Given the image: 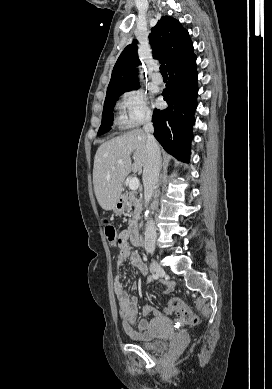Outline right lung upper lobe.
I'll return each instance as SVG.
<instances>
[{"instance_id": "right-lung-upper-lobe-1", "label": "right lung upper lobe", "mask_w": 272, "mask_h": 389, "mask_svg": "<svg viewBox=\"0 0 272 389\" xmlns=\"http://www.w3.org/2000/svg\"><path fill=\"white\" fill-rule=\"evenodd\" d=\"M151 30L149 40L153 58L165 63L168 70L194 55L188 31L176 19L163 16ZM138 62L137 40H134L115 63L106 95L139 85L135 69Z\"/></svg>"}]
</instances>
